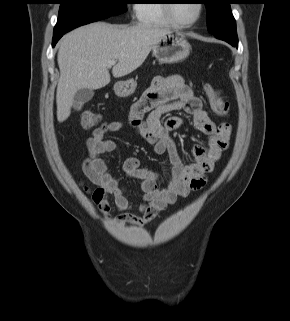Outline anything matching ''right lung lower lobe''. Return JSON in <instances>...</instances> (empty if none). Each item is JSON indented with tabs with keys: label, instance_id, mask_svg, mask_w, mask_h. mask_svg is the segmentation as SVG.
I'll return each mask as SVG.
<instances>
[{
	"label": "right lung lower lobe",
	"instance_id": "right-lung-lower-lobe-1",
	"mask_svg": "<svg viewBox=\"0 0 290 321\" xmlns=\"http://www.w3.org/2000/svg\"><path fill=\"white\" fill-rule=\"evenodd\" d=\"M65 33H66V32L54 33L53 41H52V46H53V47L55 46V44L57 43V41H58Z\"/></svg>",
	"mask_w": 290,
	"mask_h": 321
}]
</instances>
